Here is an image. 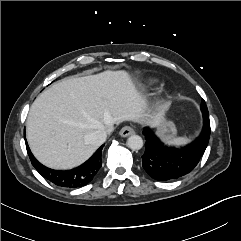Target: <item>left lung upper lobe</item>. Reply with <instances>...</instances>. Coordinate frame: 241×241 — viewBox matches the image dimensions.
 Segmentation results:
<instances>
[{
  "instance_id": "left-lung-upper-lobe-1",
  "label": "left lung upper lobe",
  "mask_w": 241,
  "mask_h": 241,
  "mask_svg": "<svg viewBox=\"0 0 241 241\" xmlns=\"http://www.w3.org/2000/svg\"><path fill=\"white\" fill-rule=\"evenodd\" d=\"M200 108H201L203 116L208 115V109H207V106H206V103L204 100H202Z\"/></svg>"
}]
</instances>
